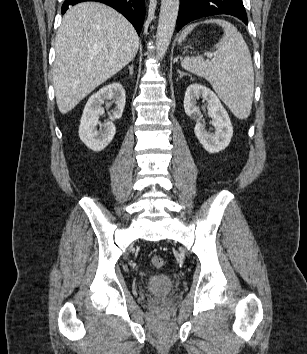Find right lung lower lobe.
<instances>
[{
    "instance_id": "right-lung-lower-lobe-1",
    "label": "right lung lower lobe",
    "mask_w": 307,
    "mask_h": 354,
    "mask_svg": "<svg viewBox=\"0 0 307 354\" xmlns=\"http://www.w3.org/2000/svg\"><path fill=\"white\" fill-rule=\"evenodd\" d=\"M84 1L102 2L113 7L133 24L140 35L145 16V0H65L62 6V14L66 12L69 6Z\"/></svg>"
}]
</instances>
